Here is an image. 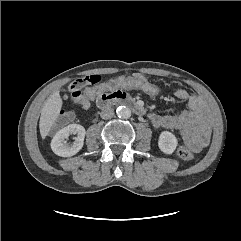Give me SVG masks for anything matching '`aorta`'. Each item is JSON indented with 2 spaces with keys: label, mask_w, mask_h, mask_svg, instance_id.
Segmentation results:
<instances>
[{
  "label": "aorta",
  "mask_w": 241,
  "mask_h": 241,
  "mask_svg": "<svg viewBox=\"0 0 241 241\" xmlns=\"http://www.w3.org/2000/svg\"><path fill=\"white\" fill-rule=\"evenodd\" d=\"M117 115L120 118L128 119L131 116V110L126 106H119L117 108Z\"/></svg>",
  "instance_id": "1"
}]
</instances>
